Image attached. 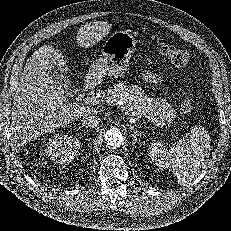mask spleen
Returning <instances> with one entry per match:
<instances>
[{
    "instance_id": "obj_1",
    "label": "spleen",
    "mask_w": 231,
    "mask_h": 231,
    "mask_svg": "<svg viewBox=\"0 0 231 231\" xmlns=\"http://www.w3.org/2000/svg\"><path fill=\"white\" fill-rule=\"evenodd\" d=\"M210 136L200 126H195L170 149L162 143L151 144L149 156L160 168L170 169L180 184L196 178L209 156Z\"/></svg>"
}]
</instances>
